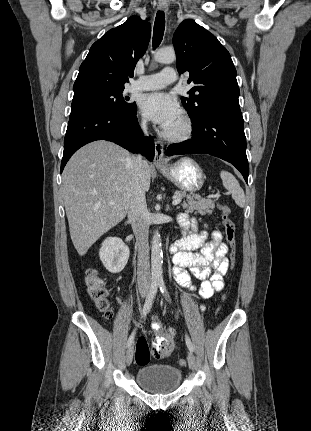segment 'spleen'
Wrapping results in <instances>:
<instances>
[{"label": "spleen", "instance_id": "3e777b00", "mask_svg": "<svg viewBox=\"0 0 311 431\" xmlns=\"http://www.w3.org/2000/svg\"><path fill=\"white\" fill-rule=\"evenodd\" d=\"M220 178L225 190L231 192L235 204H237L239 208H244L246 204L245 194L233 174H230V172H221Z\"/></svg>", "mask_w": 311, "mask_h": 431}]
</instances>
